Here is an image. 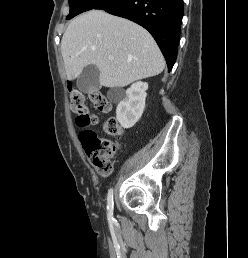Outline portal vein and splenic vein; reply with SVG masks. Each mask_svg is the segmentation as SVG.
<instances>
[{
	"instance_id": "portal-vein-and-splenic-vein-1",
	"label": "portal vein and splenic vein",
	"mask_w": 248,
	"mask_h": 258,
	"mask_svg": "<svg viewBox=\"0 0 248 258\" xmlns=\"http://www.w3.org/2000/svg\"><path fill=\"white\" fill-rule=\"evenodd\" d=\"M114 57L113 56H109V59L112 60Z\"/></svg>"
}]
</instances>
